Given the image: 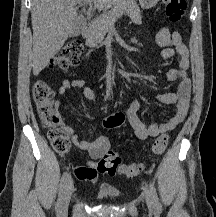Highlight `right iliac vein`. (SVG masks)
Segmentation results:
<instances>
[{"label": "right iliac vein", "instance_id": "1", "mask_svg": "<svg viewBox=\"0 0 216 217\" xmlns=\"http://www.w3.org/2000/svg\"><path fill=\"white\" fill-rule=\"evenodd\" d=\"M73 190H74V183L73 180L70 179L65 187L63 197L61 200V205L59 210L61 213L65 212L68 209Z\"/></svg>", "mask_w": 216, "mask_h": 217}]
</instances>
